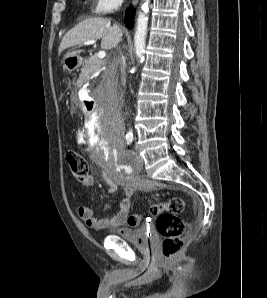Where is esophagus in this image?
<instances>
[{"label": "esophagus", "mask_w": 267, "mask_h": 298, "mask_svg": "<svg viewBox=\"0 0 267 298\" xmlns=\"http://www.w3.org/2000/svg\"><path fill=\"white\" fill-rule=\"evenodd\" d=\"M138 0H132V4L135 5Z\"/></svg>", "instance_id": "obj_1"}]
</instances>
